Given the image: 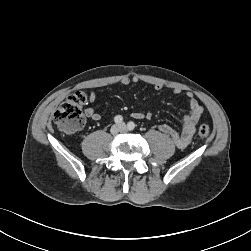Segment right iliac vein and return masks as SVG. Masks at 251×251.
<instances>
[{"label":"right iliac vein","mask_w":251,"mask_h":251,"mask_svg":"<svg viewBox=\"0 0 251 251\" xmlns=\"http://www.w3.org/2000/svg\"><path fill=\"white\" fill-rule=\"evenodd\" d=\"M121 131V126L120 125H113L112 127H111V133L113 134V135H115V134H117V133H119Z\"/></svg>","instance_id":"obj_1"}]
</instances>
